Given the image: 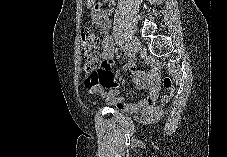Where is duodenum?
Masks as SVG:
<instances>
[{"mask_svg": "<svg viewBox=\"0 0 227 157\" xmlns=\"http://www.w3.org/2000/svg\"><path fill=\"white\" fill-rule=\"evenodd\" d=\"M98 8L99 9H102L103 8V5L102 4H99L98 5ZM94 25H103V20H94Z\"/></svg>", "mask_w": 227, "mask_h": 157, "instance_id": "410a0bca", "label": "duodenum"}]
</instances>
